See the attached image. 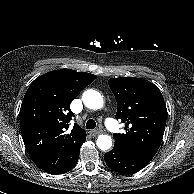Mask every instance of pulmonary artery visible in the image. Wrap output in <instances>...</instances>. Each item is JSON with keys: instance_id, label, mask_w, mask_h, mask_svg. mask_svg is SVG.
Here are the masks:
<instances>
[{"instance_id": "1", "label": "pulmonary artery", "mask_w": 194, "mask_h": 194, "mask_svg": "<svg viewBox=\"0 0 194 194\" xmlns=\"http://www.w3.org/2000/svg\"><path fill=\"white\" fill-rule=\"evenodd\" d=\"M105 125L111 132L117 133L119 131L118 124L112 119H106Z\"/></svg>"}]
</instances>
